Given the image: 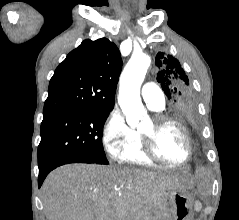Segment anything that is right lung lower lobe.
Listing matches in <instances>:
<instances>
[{
  "label": "right lung lower lobe",
  "mask_w": 239,
  "mask_h": 220,
  "mask_svg": "<svg viewBox=\"0 0 239 220\" xmlns=\"http://www.w3.org/2000/svg\"><path fill=\"white\" fill-rule=\"evenodd\" d=\"M67 163H92V162L84 161V160L61 159V160L50 162L44 165L43 167H39V176H38L39 187L42 185L45 177L48 175L50 171H52L54 168L60 165L67 164Z\"/></svg>",
  "instance_id": "right-lung-lower-lobe-1"
}]
</instances>
